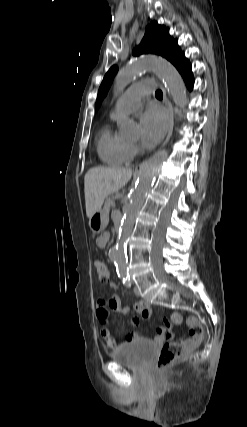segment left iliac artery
I'll return each instance as SVG.
<instances>
[{
  "label": "left iliac artery",
  "instance_id": "obj_1",
  "mask_svg": "<svg viewBox=\"0 0 247 427\" xmlns=\"http://www.w3.org/2000/svg\"><path fill=\"white\" fill-rule=\"evenodd\" d=\"M119 277L122 279L123 284L126 287H130L131 286L130 276H129L128 273L121 274Z\"/></svg>",
  "mask_w": 247,
  "mask_h": 427
}]
</instances>
